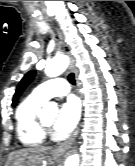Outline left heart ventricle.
Instances as JSON below:
<instances>
[{
  "label": "left heart ventricle",
  "mask_w": 135,
  "mask_h": 166,
  "mask_svg": "<svg viewBox=\"0 0 135 166\" xmlns=\"http://www.w3.org/2000/svg\"><path fill=\"white\" fill-rule=\"evenodd\" d=\"M42 120L44 121V123L48 126H52L54 121H55V115H46L42 117Z\"/></svg>",
  "instance_id": "left-heart-ventricle-1"
}]
</instances>
